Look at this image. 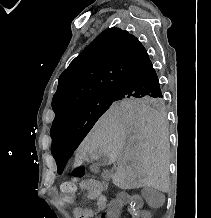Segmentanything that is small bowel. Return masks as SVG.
I'll return each mask as SVG.
<instances>
[{
  "mask_svg": "<svg viewBox=\"0 0 211 218\" xmlns=\"http://www.w3.org/2000/svg\"><path fill=\"white\" fill-rule=\"evenodd\" d=\"M80 189L85 193L86 197L95 203L96 210L92 209H76V218H91L96 211H101L106 206V198L103 194V188L101 187V182L95 179H86L80 183ZM51 194L54 196L58 195L56 188L51 189ZM113 214H116L114 212ZM129 218H148V213L140 208H129L128 209Z\"/></svg>",
  "mask_w": 211,
  "mask_h": 218,
  "instance_id": "1",
  "label": "small bowel"
}]
</instances>
